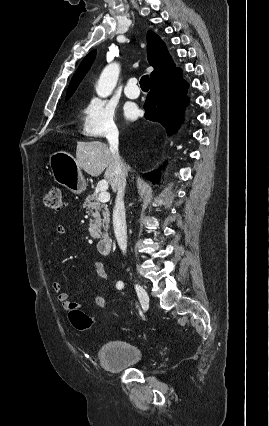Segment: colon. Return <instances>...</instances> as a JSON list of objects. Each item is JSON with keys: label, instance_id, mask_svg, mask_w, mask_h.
<instances>
[{"label": "colon", "instance_id": "5ec220e1", "mask_svg": "<svg viewBox=\"0 0 269 426\" xmlns=\"http://www.w3.org/2000/svg\"><path fill=\"white\" fill-rule=\"evenodd\" d=\"M45 206L50 209H59L61 207V191L57 187L51 188L44 196ZM69 319L71 324L79 331L92 329L93 319L84 311L78 308L70 309Z\"/></svg>", "mask_w": 269, "mask_h": 426}]
</instances>
